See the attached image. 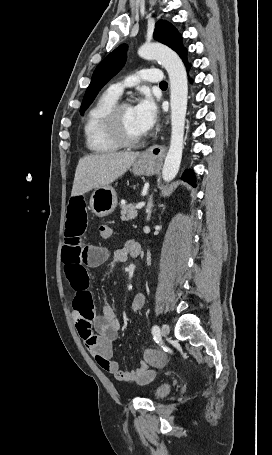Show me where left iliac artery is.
Masks as SVG:
<instances>
[{"label":"left iliac artery","instance_id":"obj_1","mask_svg":"<svg viewBox=\"0 0 272 455\" xmlns=\"http://www.w3.org/2000/svg\"><path fill=\"white\" fill-rule=\"evenodd\" d=\"M152 334L154 336V340L159 339L160 337V328L157 325L152 327Z\"/></svg>","mask_w":272,"mask_h":455}]
</instances>
